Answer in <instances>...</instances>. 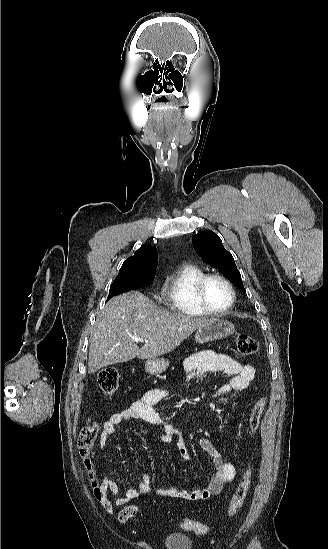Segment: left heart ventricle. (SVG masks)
<instances>
[{
  "instance_id": "1",
  "label": "left heart ventricle",
  "mask_w": 328,
  "mask_h": 549,
  "mask_svg": "<svg viewBox=\"0 0 328 549\" xmlns=\"http://www.w3.org/2000/svg\"><path fill=\"white\" fill-rule=\"evenodd\" d=\"M205 296L207 308L213 311H221L226 308L231 300V293L228 286L220 280H211L206 287Z\"/></svg>"
}]
</instances>
